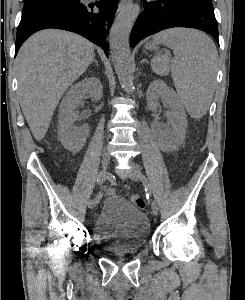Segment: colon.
I'll return each instance as SVG.
<instances>
[{"mask_svg": "<svg viewBox=\"0 0 245 300\" xmlns=\"http://www.w3.org/2000/svg\"><path fill=\"white\" fill-rule=\"evenodd\" d=\"M132 202L134 203V205L138 208H143L145 206V201L144 199L139 196V195H133L131 197Z\"/></svg>", "mask_w": 245, "mask_h": 300, "instance_id": "5ec220e1", "label": "colon"}]
</instances>
